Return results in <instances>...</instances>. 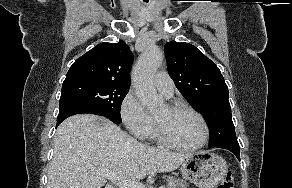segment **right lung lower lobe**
Segmentation results:
<instances>
[{
    "instance_id": "right-lung-lower-lobe-1",
    "label": "right lung lower lobe",
    "mask_w": 292,
    "mask_h": 188,
    "mask_svg": "<svg viewBox=\"0 0 292 188\" xmlns=\"http://www.w3.org/2000/svg\"><path fill=\"white\" fill-rule=\"evenodd\" d=\"M81 113H90V114H96V115H100L96 112H93L89 109H86L84 107H80V106H68V107H63L60 108L59 110V114L57 116V126L67 117L75 115V114H81ZM103 116V115H101ZM105 117V116H104ZM110 119V118H108ZM112 122L116 123V124H120L121 122L119 121H115L113 119H110Z\"/></svg>"
}]
</instances>
